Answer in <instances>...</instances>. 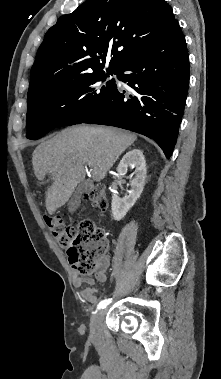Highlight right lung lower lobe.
<instances>
[{
    "instance_id": "right-lung-lower-lobe-1",
    "label": "right lung lower lobe",
    "mask_w": 221,
    "mask_h": 379,
    "mask_svg": "<svg viewBox=\"0 0 221 379\" xmlns=\"http://www.w3.org/2000/svg\"><path fill=\"white\" fill-rule=\"evenodd\" d=\"M189 71L187 46L178 27L116 69L118 79L129 89L122 91L115 84L100 106L69 125L89 123L128 129L155 140L169 158L184 114Z\"/></svg>"
}]
</instances>
